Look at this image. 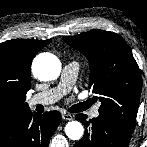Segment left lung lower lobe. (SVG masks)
Here are the masks:
<instances>
[{"label": "left lung lower lobe", "instance_id": "left-lung-lower-lobe-1", "mask_svg": "<svg viewBox=\"0 0 147 147\" xmlns=\"http://www.w3.org/2000/svg\"><path fill=\"white\" fill-rule=\"evenodd\" d=\"M84 114H77L79 120L85 126V133L82 139L74 144V147H127L133 131L128 130L120 123L98 116L86 120Z\"/></svg>", "mask_w": 147, "mask_h": 147}]
</instances>
